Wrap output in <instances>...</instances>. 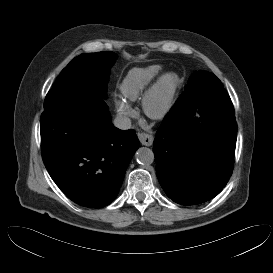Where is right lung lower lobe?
Here are the masks:
<instances>
[{
  "label": "right lung lower lobe",
  "mask_w": 273,
  "mask_h": 273,
  "mask_svg": "<svg viewBox=\"0 0 273 273\" xmlns=\"http://www.w3.org/2000/svg\"><path fill=\"white\" fill-rule=\"evenodd\" d=\"M40 122L43 162L56 185L81 206L109 205L138 149L136 132L114 127L104 98L91 92L56 100Z\"/></svg>",
  "instance_id": "right-lung-lower-lobe-1"
}]
</instances>
